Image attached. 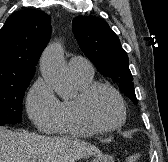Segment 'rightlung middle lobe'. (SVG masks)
<instances>
[{
    "label": "right lung middle lobe",
    "mask_w": 168,
    "mask_h": 162,
    "mask_svg": "<svg viewBox=\"0 0 168 162\" xmlns=\"http://www.w3.org/2000/svg\"><path fill=\"white\" fill-rule=\"evenodd\" d=\"M32 78L21 77L0 83V125L21 122L22 100Z\"/></svg>",
    "instance_id": "right-lung-middle-lobe-1"
}]
</instances>
